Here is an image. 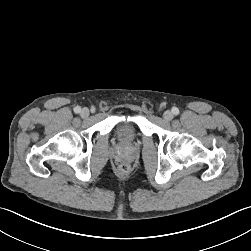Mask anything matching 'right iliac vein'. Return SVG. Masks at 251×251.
Here are the masks:
<instances>
[{"instance_id": "right-iliac-vein-1", "label": "right iliac vein", "mask_w": 251, "mask_h": 251, "mask_svg": "<svg viewBox=\"0 0 251 251\" xmlns=\"http://www.w3.org/2000/svg\"><path fill=\"white\" fill-rule=\"evenodd\" d=\"M80 115L83 117V118H86L89 116V109L88 108H83L80 112Z\"/></svg>"}]
</instances>
